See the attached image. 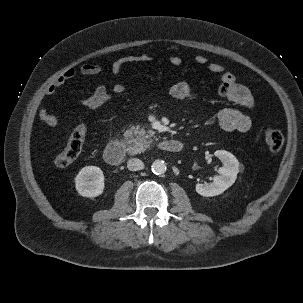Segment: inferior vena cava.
<instances>
[{
  "label": "inferior vena cava",
  "instance_id": "obj_1",
  "mask_svg": "<svg viewBox=\"0 0 303 303\" xmlns=\"http://www.w3.org/2000/svg\"><path fill=\"white\" fill-rule=\"evenodd\" d=\"M144 167V163L137 158H131L128 162H127V168L130 171H138L143 169Z\"/></svg>",
  "mask_w": 303,
  "mask_h": 303
}]
</instances>
